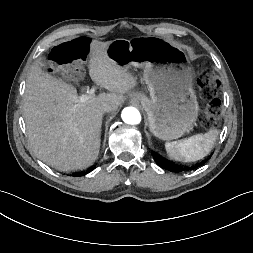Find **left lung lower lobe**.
<instances>
[{
	"instance_id": "left-lung-lower-lobe-1",
	"label": "left lung lower lobe",
	"mask_w": 253,
	"mask_h": 253,
	"mask_svg": "<svg viewBox=\"0 0 253 253\" xmlns=\"http://www.w3.org/2000/svg\"><path fill=\"white\" fill-rule=\"evenodd\" d=\"M153 158H154L155 162L161 168L166 169L168 171L179 173L184 170V168L182 166L176 165V164L170 162L169 160H167L161 156H158L156 154H153ZM204 163H205V161H203L200 165H202Z\"/></svg>"
}]
</instances>
